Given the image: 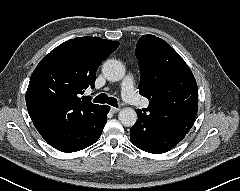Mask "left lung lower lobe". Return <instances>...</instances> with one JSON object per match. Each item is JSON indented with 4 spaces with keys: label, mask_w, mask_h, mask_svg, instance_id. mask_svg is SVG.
<instances>
[{
    "label": "left lung lower lobe",
    "mask_w": 240,
    "mask_h": 191,
    "mask_svg": "<svg viewBox=\"0 0 240 191\" xmlns=\"http://www.w3.org/2000/svg\"><path fill=\"white\" fill-rule=\"evenodd\" d=\"M138 120L130 130L131 142L139 149L160 154L175 147L189 132L190 124L158 121L148 108L137 111Z\"/></svg>",
    "instance_id": "1"
}]
</instances>
